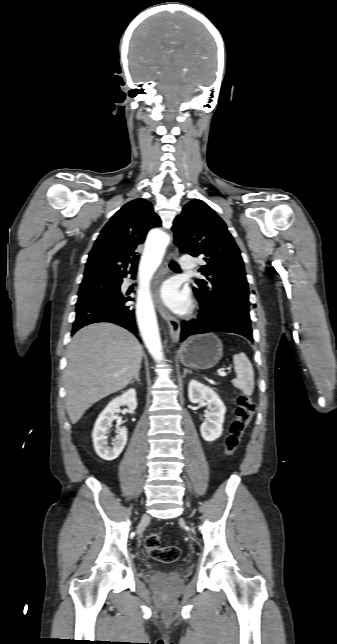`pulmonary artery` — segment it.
Listing matches in <instances>:
<instances>
[{"instance_id": "1", "label": "pulmonary artery", "mask_w": 337, "mask_h": 644, "mask_svg": "<svg viewBox=\"0 0 337 644\" xmlns=\"http://www.w3.org/2000/svg\"><path fill=\"white\" fill-rule=\"evenodd\" d=\"M180 265L182 269L191 270L195 266L194 258L190 255H184L180 258Z\"/></svg>"}]
</instances>
